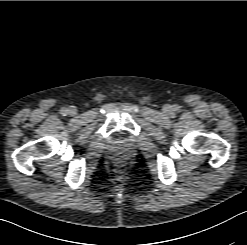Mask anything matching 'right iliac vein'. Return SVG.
<instances>
[{"label":"right iliac vein","instance_id":"right-iliac-vein-1","mask_svg":"<svg viewBox=\"0 0 247 245\" xmlns=\"http://www.w3.org/2000/svg\"><path fill=\"white\" fill-rule=\"evenodd\" d=\"M68 113H69V115H71V116L76 115V114H77V109H76V107L70 106L69 109H68Z\"/></svg>","mask_w":247,"mask_h":245}]
</instances>
